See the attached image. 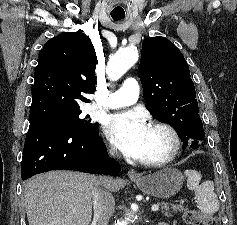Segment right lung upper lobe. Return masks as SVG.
Listing matches in <instances>:
<instances>
[{
    "instance_id": "1",
    "label": "right lung upper lobe",
    "mask_w": 237,
    "mask_h": 225,
    "mask_svg": "<svg viewBox=\"0 0 237 225\" xmlns=\"http://www.w3.org/2000/svg\"><path fill=\"white\" fill-rule=\"evenodd\" d=\"M97 56L88 36L66 32L47 41L39 54L30 107V124L81 111L83 94L95 91Z\"/></svg>"
}]
</instances>
